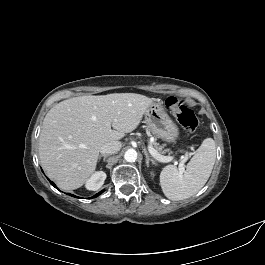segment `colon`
<instances>
[{
  "instance_id": "obj_1",
  "label": "colon",
  "mask_w": 265,
  "mask_h": 265,
  "mask_svg": "<svg viewBox=\"0 0 265 265\" xmlns=\"http://www.w3.org/2000/svg\"><path fill=\"white\" fill-rule=\"evenodd\" d=\"M165 103L184 129L190 133H194L197 130L199 120L195 112L190 107L185 105L176 96L168 97Z\"/></svg>"
}]
</instances>
